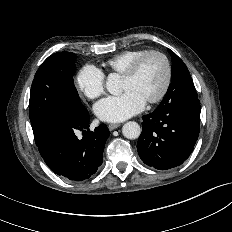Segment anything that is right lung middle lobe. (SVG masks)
Returning a JSON list of instances; mask_svg holds the SVG:
<instances>
[{
  "label": "right lung middle lobe",
  "mask_w": 232,
  "mask_h": 232,
  "mask_svg": "<svg viewBox=\"0 0 232 232\" xmlns=\"http://www.w3.org/2000/svg\"><path fill=\"white\" fill-rule=\"evenodd\" d=\"M75 59L72 52L54 53L41 64L34 76L29 117L36 144L42 141L58 116L81 115L87 110L74 86Z\"/></svg>",
  "instance_id": "right-lung-middle-lobe-1"
}]
</instances>
